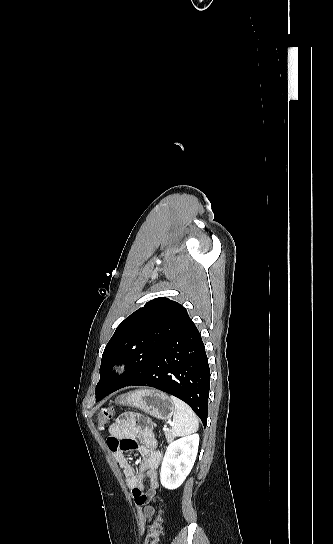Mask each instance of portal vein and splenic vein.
<instances>
[{"label":"portal vein and splenic vein","instance_id":"portal-vein-and-splenic-vein-1","mask_svg":"<svg viewBox=\"0 0 333 544\" xmlns=\"http://www.w3.org/2000/svg\"><path fill=\"white\" fill-rule=\"evenodd\" d=\"M170 425H173V423H170ZM166 430H167V429H166V428H164V431H166Z\"/></svg>","mask_w":333,"mask_h":544}]
</instances>
